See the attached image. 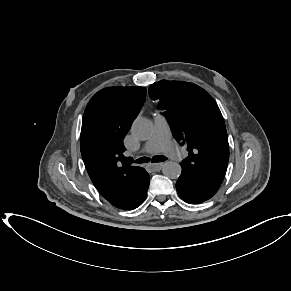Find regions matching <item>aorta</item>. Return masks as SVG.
<instances>
[{"label": "aorta", "mask_w": 291, "mask_h": 291, "mask_svg": "<svg viewBox=\"0 0 291 291\" xmlns=\"http://www.w3.org/2000/svg\"><path fill=\"white\" fill-rule=\"evenodd\" d=\"M132 134L139 140H147L153 134V124L150 120L138 117L135 119L132 125ZM163 174L171 179H177L181 174V166L174 161H168L163 166Z\"/></svg>", "instance_id": "aorta-1"}]
</instances>
